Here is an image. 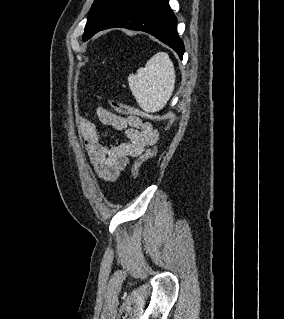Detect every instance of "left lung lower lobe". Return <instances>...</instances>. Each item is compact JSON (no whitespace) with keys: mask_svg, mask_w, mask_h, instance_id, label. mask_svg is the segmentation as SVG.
I'll return each mask as SVG.
<instances>
[{"mask_svg":"<svg viewBox=\"0 0 284 319\" xmlns=\"http://www.w3.org/2000/svg\"><path fill=\"white\" fill-rule=\"evenodd\" d=\"M176 26L177 19L168 0H124L101 30L123 27L147 32L171 47L182 59L184 44Z\"/></svg>","mask_w":284,"mask_h":319,"instance_id":"0a47b994","label":"left lung lower lobe"}]
</instances>
